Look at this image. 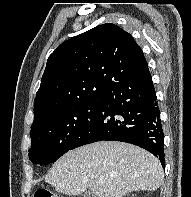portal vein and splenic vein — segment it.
I'll return each mask as SVG.
<instances>
[{
    "label": "portal vein and splenic vein",
    "mask_w": 191,
    "mask_h": 197,
    "mask_svg": "<svg viewBox=\"0 0 191 197\" xmlns=\"http://www.w3.org/2000/svg\"><path fill=\"white\" fill-rule=\"evenodd\" d=\"M99 183H100V184H102V183H103V181H100Z\"/></svg>",
    "instance_id": "obj_1"
}]
</instances>
